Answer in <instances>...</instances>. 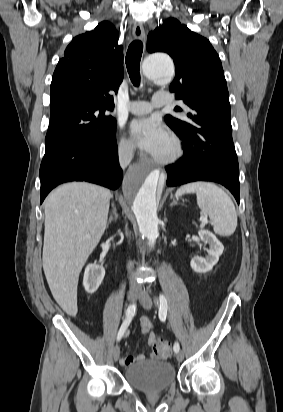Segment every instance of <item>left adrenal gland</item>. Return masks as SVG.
I'll return each instance as SVG.
<instances>
[{
	"label": "left adrenal gland",
	"mask_w": 283,
	"mask_h": 412,
	"mask_svg": "<svg viewBox=\"0 0 283 412\" xmlns=\"http://www.w3.org/2000/svg\"><path fill=\"white\" fill-rule=\"evenodd\" d=\"M176 204H177V202H176V200L174 199L173 202L170 204V206H174V205H176Z\"/></svg>",
	"instance_id": "1"
}]
</instances>
